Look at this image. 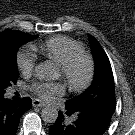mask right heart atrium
<instances>
[{
    "label": "right heart atrium",
    "instance_id": "obj_1",
    "mask_svg": "<svg viewBox=\"0 0 135 135\" xmlns=\"http://www.w3.org/2000/svg\"><path fill=\"white\" fill-rule=\"evenodd\" d=\"M36 55L30 51H19L16 55V64L24 75H30L36 66Z\"/></svg>",
    "mask_w": 135,
    "mask_h": 135
}]
</instances>
